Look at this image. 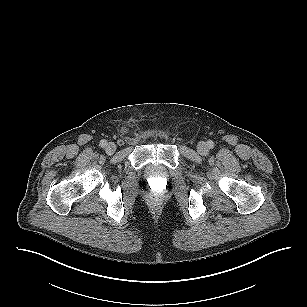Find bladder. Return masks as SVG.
Wrapping results in <instances>:
<instances>
[{
    "instance_id": "1",
    "label": "bladder",
    "mask_w": 307,
    "mask_h": 307,
    "mask_svg": "<svg viewBox=\"0 0 307 307\" xmlns=\"http://www.w3.org/2000/svg\"><path fill=\"white\" fill-rule=\"evenodd\" d=\"M147 176L150 178H161L165 177V172L163 168L156 164H151L147 168Z\"/></svg>"
}]
</instances>
